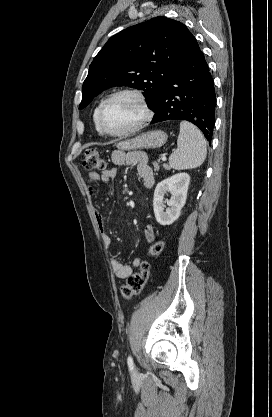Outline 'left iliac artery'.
Masks as SVG:
<instances>
[{"label":"left iliac artery","mask_w":272,"mask_h":417,"mask_svg":"<svg viewBox=\"0 0 272 417\" xmlns=\"http://www.w3.org/2000/svg\"><path fill=\"white\" fill-rule=\"evenodd\" d=\"M127 363H128L129 368L132 370L134 368V363H133V359L131 356H128Z\"/></svg>","instance_id":"obj_1"}]
</instances>
